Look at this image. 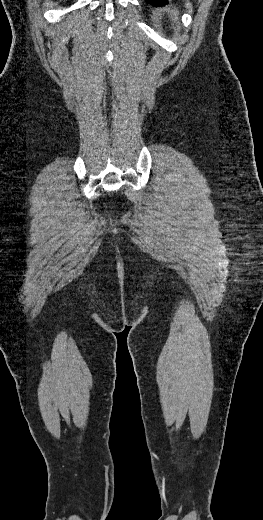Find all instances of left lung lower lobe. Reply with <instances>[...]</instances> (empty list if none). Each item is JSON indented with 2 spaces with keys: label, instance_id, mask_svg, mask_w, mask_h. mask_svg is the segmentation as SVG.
Segmentation results:
<instances>
[{
  "label": "left lung lower lobe",
  "instance_id": "1",
  "mask_svg": "<svg viewBox=\"0 0 263 520\" xmlns=\"http://www.w3.org/2000/svg\"><path fill=\"white\" fill-rule=\"evenodd\" d=\"M147 3H150L154 6H162L165 5L168 0H145Z\"/></svg>",
  "mask_w": 263,
  "mask_h": 520
}]
</instances>
